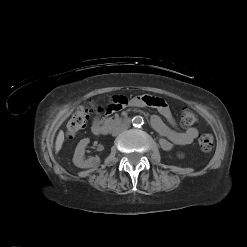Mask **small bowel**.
<instances>
[{
	"label": "small bowel",
	"mask_w": 247,
	"mask_h": 247,
	"mask_svg": "<svg viewBox=\"0 0 247 247\" xmlns=\"http://www.w3.org/2000/svg\"><path fill=\"white\" fill-rule=\"evenodd\" d=\"M129 104V100L117 94L109 98L106 105L99 104L96 106L97 112H104L105 114H113L121 111ZM130 105L134 107L151 106L158 110V112L169 122L172 127L167 126L162 119L153 115L151 117V125L154 130L160 135L159 145L165 150H171L175 145H189L198 136V130L194 127L188 128L185 131H180L176 128V122L172 112L167 103L158 97L139 96L130 101ZM102 117L97 116L92 122V131L96 133L98 127L101 125Z\"/></svg>",
	"instance_id": "obj_1"
}]
</instances>
